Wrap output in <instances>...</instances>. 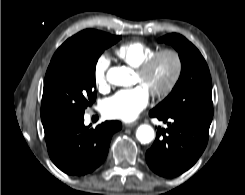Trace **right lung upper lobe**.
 I'll return each mask as SVG.
<instances>
[{
  "label": "right lung upper lobe",
  "instance_id": "right-lung-upper-lobe-1",
  "mask_svg": "<svg viewBox=\"0 0 245 195\" xmlns=\"http://www.w3.org/2000/svg\"><path fill=\"white\" fill-rule=\"evenodd\" d=\"M41 119H42V123H43L44 128H48V127H51V126L57 124L55 122L47 120L43 115L41 116Z\"/></svg>",
  "mask_w": 245,
  "mask_h": 195
}]
</instances>
